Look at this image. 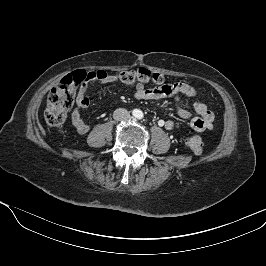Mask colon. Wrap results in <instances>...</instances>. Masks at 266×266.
<instances>
[{
    "mask_svg": "<svg viewBox=\"0 0 266 266\" xmlns=\"http://www.w3.org/2000/svg\"><path fill=\"white\" fill-rule=\"evenodd\" d=\"M119 80L126 85L161 83L163 78L158 73H152L146 68L138 70L124 71L118 74ZM90 80V76L85 71H76L62 78L55 86L47 98L44 118L51 126H61L65 123L67 113L72 107L75 98V91L78 86L85 85ZM186 146L195 154H200L203 150L204 141L199 135H192L186 139Z\"/></svg>",
    "mask_w": 266,
    "mask_h": 266,
    "instance_id": "obj_1",
    "label": "colon"
}]
</instances>
